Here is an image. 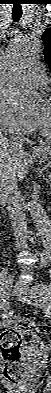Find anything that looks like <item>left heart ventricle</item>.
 I'll list each match as a JSON object with an SVG mask.
<instances>
[{"label":"left heart ventricle","mask_w":51,"mask_h":393,"mask_svg":"<svg viewBox=\"0 0 51 393\" xmlns=\"http://www.w3.org/2000/svg\"><path fill=\"white\" fill-rule=\"evenodd\" d=\"M34 119L40 122L46 130H51V103L43 101L37 108Z\"/></svg>","instance_id":"1"}]
</instances>
